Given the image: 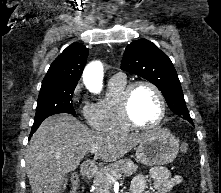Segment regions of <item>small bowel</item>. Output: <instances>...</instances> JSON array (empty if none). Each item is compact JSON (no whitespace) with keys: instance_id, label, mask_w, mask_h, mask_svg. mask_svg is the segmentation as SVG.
<instances>
[{"instance_id":"small-bowel-1","label":"small bowel","mask_w":221,"mask_h":193,"mask_svg":"<svg viewBox=\"0 0 221 193\" xmlns=\"http://www.w3.org/2000/svg\"><path fill=\"white\" fill-rule=\"evenodd\" d=\"M148 180L154 181V188L157 193H168L173 187L183 182V177L172 175L166 167H153L147 174H138L132 179L131 193H143Z\"/></svg>"}]
</instances>
